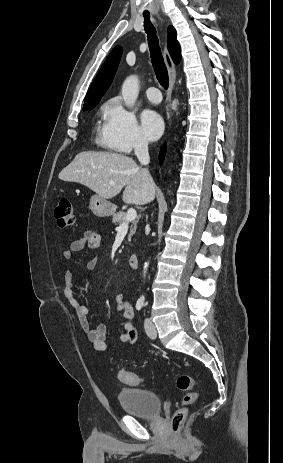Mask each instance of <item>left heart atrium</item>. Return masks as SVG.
I'll list each match as a JSON object with an SVG mask.
<instances>
[{"mask_svg":"<svg viewBox=\"0 0 283 463\" xmlns=\"http://www.w3.org/2000/svg\"><path fill=\"white\" fill-rule=\"evenodd\" d=\"M141 130L148 140H157L164 130L161 116L152 110L144 111L141 116Z\"/></svg>","mask_w":283,"mask_h":463,"instance_id":"39dd6f15","label":"left heart atrium"}]
</instances>
